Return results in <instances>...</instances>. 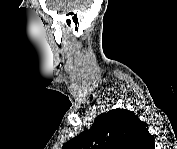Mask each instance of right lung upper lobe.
<instances>
[{"mask_svg": "<svg viewBox=\"0 0 177 149\" xmlns=\"http://www.w3.org/2000/svg\"><path fill=\"white\" fill-rule=\"evenodd\" d=\"M153 142L134 112L117 108L98 115L89 129L64 144L63 149H152Z\"/></svg>", "mask_w": 177, "mask_h": 149, "instance_id": "cb5924a9", "label": "right lung upper lobe"}]
</instances>
